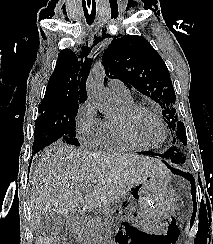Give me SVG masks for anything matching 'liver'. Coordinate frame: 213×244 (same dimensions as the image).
<instances>
[{
  "label": "liver",
  "mask_w": 213,
  "mask_h": 244,
  "mask_svg": "<svg viewBox=\"0 0 213 244\" xmlns=\"http://www.w3.org/2000/svg\"><path fill=\"white\" fill-rule=\"evenodd\" d=\"M163 168L160 160L147 156L90 152L56 143L39 158L30 176L32 226L37 229L47 212L67 217L79 204L88 210L106 205L144 179L162 174Z\"/></svg>",
  "instance_id": "liver-1"
}]
</instances>
